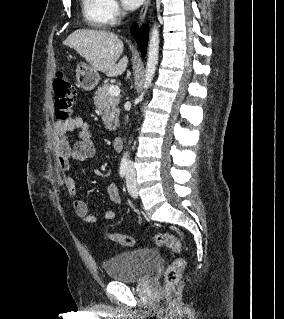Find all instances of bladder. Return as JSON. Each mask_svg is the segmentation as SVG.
<instances>
[{"mask_svg": "<svg viewBox=\"0 0 284 319\" xmlns=\"http://www.w3.org/2000/svg\"><path fill=\"white\" fill-rule=\"evenodd\" d=\"M161 262L159 252L141 248L119 253L104 261L107 276L118 282H138L149 276Z\"/></svg>", "mask_w": 284, "mask_h": 319, "instance_id": "1", "label": "bladder"}]
</instances>
